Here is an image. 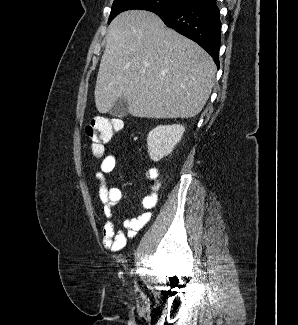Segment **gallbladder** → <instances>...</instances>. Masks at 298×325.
Listing matches in <instances>:
<instances>
[{"mask_svg": "<svg viewBox=\"0 0 298 325\" xmlns=\"http://www.w3.org/2000/svg\"><path fill=\"white\" fill-rule=\"evenodd\" d=\"M110 114L112 116H117V118H122V116H127L129 114L128 110V100L120 96L118 100H115V104L110 108Z\"/></svg>", "mask_w": 298, "mask_h": 325, "instance_id": "1", "label": "gallbladder"}]
</instances>
